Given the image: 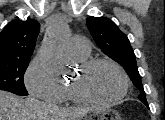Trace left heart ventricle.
<instances>
[{"label":"left heart ventricle","instance_id":"1","mask_svg":"<svg viewBox=\"0 0 165 120\" xmlns=\"http://www.w3.org/2000/svg\"><path fill=\"white\" fill-rule=\"evenodd\" d=\"M80 78L79 72L73 82ZM85 91L95 98L108 99L118 95L123 87L118 71L110 65L101 64L90 70L82 81Z\"/></svg>","mask_w":165,"mask_h":120}]
</instances>
